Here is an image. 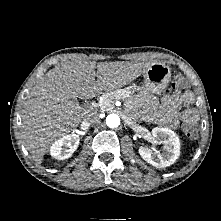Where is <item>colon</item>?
<instances>
[{"mask_svg": "<svg viewBox=\"0 0 221 221\" xmlns=\"http://www.w3.org/2000/svg\"><path fill=\"white\" fill-rule=\"evenodd\" d=\"M172 87L174 89H185L186 88V81L182 75L177 74L174 76L173 81H172ZM182 121H183V130H184L185 134L189 138L195 139L198 134L197 124H196L195 119L187 118Z\"/></svg>", "mask_w": 221, "mask_h": 221, "instance_id": "obj_1", "label": "colon"}]
</instances>
